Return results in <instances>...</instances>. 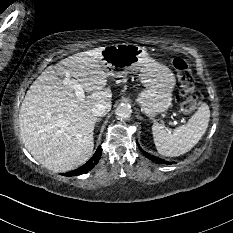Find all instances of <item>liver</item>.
I'll return each instance as SVG.
<instances>
[{
	"mask_svg": "<svg viewBox=\"0 0 233 233\" xmlns=\"http://www.w3.org/2000/svg\"><path fill=\"white\" fill-rule=\"evenodd\" d=\"M105 47L80 52L47 67L33 82L20 107L22 142L45 168L66 172L84 164L94 148L97 118L92 108L111 103L108 74L101 64ZM76 81L89 98L80 100L64 78Z\"/></svg>",
	"mask_w": 233,
	"mask_h": 233,
	"instance_id": "obj_1",
	"label": "liver"
}]
</instances>
